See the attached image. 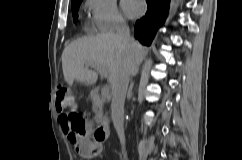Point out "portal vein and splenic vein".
I'll list each match as a JSON object with an SVG mask.
<instances>
[{"mask_svg":"<svg viewBox=\"0 0 242 160\" xmlns=\"http://www.w3.org/2000/svg\"><path fill=\"white\" fill-rule=\"evenodd\" d=\"M87 66H90L91 68L96 69L102 76H104L105 78H108V72L105 67L98 66V65H87ZM109 89H110L109 84H106L102 89V94L107 95Z\"/></svg>","mask_w":242,"mask_h":160,"instance_id":"portal-vein-and-splenic-vein-1","label":"portal vein and splenic vein"}]
</instances>
